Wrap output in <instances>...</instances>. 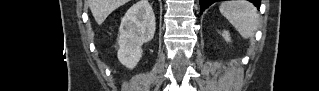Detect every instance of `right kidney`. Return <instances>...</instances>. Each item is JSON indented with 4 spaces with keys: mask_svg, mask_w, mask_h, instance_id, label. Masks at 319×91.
<instances>
[{
    "mask_svg": "<svg viewBox=\"0 0 319 91\" xmlns=\"http://www.w3.org/2000/svg\"><path fill=\"white\" fill-rule=\"evenodd\" d=\"M155 16L148 0H139L126 12L121 20L119 49L120 63L133 69L142 57L141 46L149 42L155 33Z\"/></svg>",
    "mask_w": 319,
    "mask_h": 91,
    "instance_id": "ca27d5eb",
    "label": "right kidney"
}]
</instances>
